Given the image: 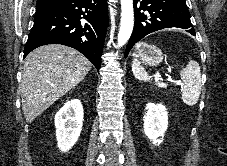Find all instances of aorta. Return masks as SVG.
<instances>
[{
  "mask_svg": "<svg viewBox=\"0 0 227 166\" xmlns=\"http://www.w3.org/2000/svg\"><path fill=\"white\" fill-rule=\"evenodd\" d=\"M134 26L133 0H121V22L117 46L122 47L129 40Z\"/></svg>",
  "mask_w": 227,
  "mask_h": 166,
  "instance_id": "obj_1",
  "label": "aorta"
}]
</instances>
